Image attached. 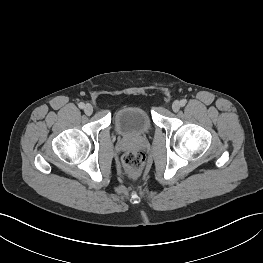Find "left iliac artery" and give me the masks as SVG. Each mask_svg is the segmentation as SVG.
I'll use <instances>...</instances> for the list:
<instances>
[{
	"mask_svg": "<svg viewBox=\"0 0 263 263\" xmlns=\"http://www.w3.org/2000/svg\"><path fill=\"white\" fill-rule=\"evenodd\" d=\"M187 103V100L186 99H183L180 101V105L183 107L185 106V104Z\"/></svg>",
	"mask_w": 263,
	"mask_h": 263,
	"instance_id": "left-iliac-artery-1",
	"label": "left iliac artery"
}]
</instances>
